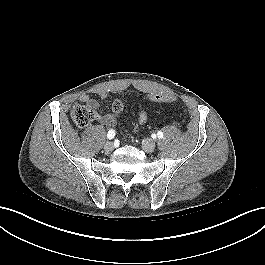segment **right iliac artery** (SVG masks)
<instances>
[{
  "instance_id": "1",
  "label": "right iliac artery",
  "mask_w": 265,
  "mask_h": 265,
  "mask_svg": "<svg viewBox=\"0 0 265 265\" xmlns=\"http://www.w3.org/2000/svg\"><path fill=\"white\" fill-rule=\"evenodd\" d=\"M115 136V130L111 129L108 131L107 137L108 139H113Z\"/></svg>"
}]
</instances>
